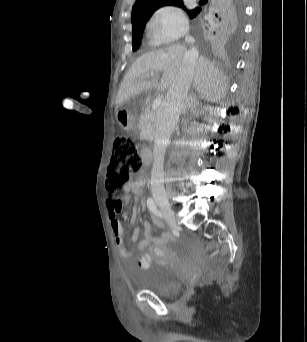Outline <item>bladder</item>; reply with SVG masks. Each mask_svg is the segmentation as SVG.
<instances>
[{
	"label": "bladder",
	"mask_w": 307,
	"mask_h": 342,
	"mask_svg": "<svg viewBox=\"0 0 307 342\" xmlns=\"http://www.w3.org/2000/svg\"><path fill=\"white\" fill-rule=\"evenodd\" d=\"M180 275L175 267L162 261H152L146 267L143 288L160 295L175 292L180 287Z\"/></svg>",
	"instance_id": "31cf9c89"
}]
</instances>
